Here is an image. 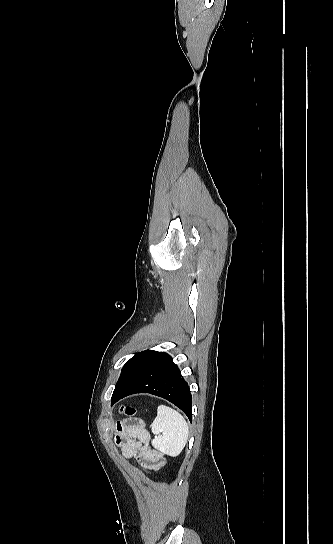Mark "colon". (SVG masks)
<instances>
[{
	"label": "colon",
	"mask_w": 333,
	"mask_h": 544,
	"mask_svg": "<svg viewBox=\"0 0 333 544\" xmlns=\"http://www.w3.org/2000/svg\"><path fill=\"white\" fill-rule=\"evenodd\" d=\"M119 411L123 416H125L127 418H130V419L134 418L138 413V410L135 407L130 406V405L121 406Z\"/></svg>",
	"instance_id": "5ec220e1"
}]
</instances>
